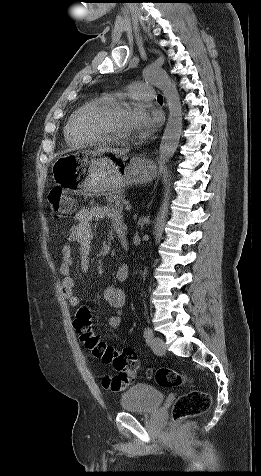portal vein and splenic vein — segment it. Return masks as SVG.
<instances>
[{
    "instance_id": "portal-vein-and-splenic-vein-1",
    "label": "portal vein and splenic vein",
    "mask_w": 261,
    "mask_h": 476,
    "mask_svg": "<svg viewBox=\"0 0 261 476\" xmlns=\"http://www.w3.org/2000/svg\"><path fill=\"white\" fill-rule=\"evenodd\" d=\"M124 204H125V210H126V211H130L131 208H132L131 205H130V203L125 201Z\"/></svg>"
}]
</instances>
